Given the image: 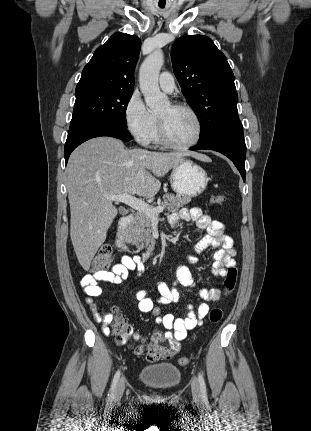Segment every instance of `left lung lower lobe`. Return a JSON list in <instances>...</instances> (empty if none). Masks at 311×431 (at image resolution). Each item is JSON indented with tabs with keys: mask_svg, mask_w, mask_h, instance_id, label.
I'll list each match as a JSON object with an SVG mask.
<instances>
[{
	"mask_svg": "<svg viewBox=\"0 0 311 431\" xmlns=\"http://www.w3.org/2000/svg\"><path fill=\"white\" fill-rule=\"evenodd\" d=\"M208 149L220 152L227 156L242 175L245 181L246 145L241 123L229 125L206 140L199 141L190 150Z\"/></svg>",
	"mask_w": 311,
	"mask_h": 431,
	"instance_id": "0a47b994",
	"label": "left lung lower lobe"
}]
</instances>
